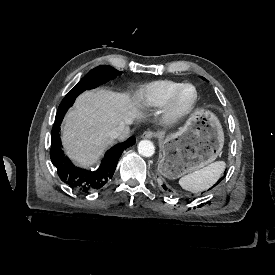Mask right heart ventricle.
Masks as SVG:
<instances>
[{
  "label": "right heart ventricle",
  "instance_id": "right-heart-ventricle-1",
  "mask_svg": "<svg viewBox=\"0 0 275 275\" xmlns=\"http://www.w3.org/2000/svg\"><path fill=\"white\" fill-rule=\"evenodd\" d=\"M179 83L170 80H160L145 87L139 101L145 107H161L167 104Z\"/></svg>",
  "mask_w": 275,
  "mask_h": 275
}]
</instances>
